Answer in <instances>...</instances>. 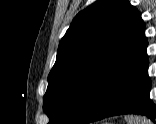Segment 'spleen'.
<instances>
[{
  "mask_svg": "<svg viewBox=\"0 0 156 124\" xmlns=\"http://www.w3.org/2000/svg\"><path fill=\"white\" fill-rule=\"evenodd\" d=\"M126 121L127 124H152L149 119L142 116H128Z\"/></svg>",
  "mask_w": 156,
  "mask_h": 124,
  "instance_id": "obj_1",
  "label": "spleen"
}]
</instances>
